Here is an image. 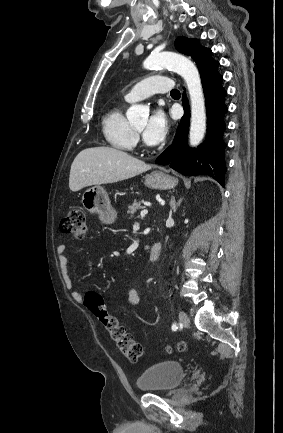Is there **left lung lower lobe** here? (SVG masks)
I'll use <instances>...</instances> for the list:
<instances>
[{
  "mask_svg": "<svg viewBox=\"0 0 283 433\" xmlns=\"http://www.w3.org/2000/svg\"><path fill=\"white\" fill-rule=\"evenodd\" d=\"M211 50L200 54L195 62L201 75L203 91L207 104L208 137L197 149L187 146L189 126L188 100L184 96L182 104L185 114L178 126L175 138L156 159V163L169 165L185 176L208 175L224 187L226 144L223 134L226 130L224 116L227 112L225 104L226 91L222 87L223 77L218 73L219 63L211 57Z\"/></svg>",
  "mask_w": 283,
  "mask_h": 433,
  "instance_id": "1",
  "label": "left lung lower lobe"
}]
</instances>
